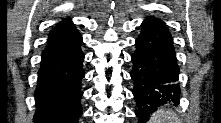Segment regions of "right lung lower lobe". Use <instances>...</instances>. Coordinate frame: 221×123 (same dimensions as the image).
I'll use <instances>...</instances> for the list:
<instances>
[{
    "label": "right lung lower lobe",
    "mask_w": 221,
    "mask_h": 123,
    "mask_svg": "<svg viewBox=\"0 0 221 123\" xmlns=\"http://www.w3.org/2000/svg\"><path fill=\"white\" fill-rule=\"evenodd\" d=\"M80 33L48 42L35 90L37 123H78L84 78Z\"/></svg>",
    "instance_id": "98d812e1"
}]
</instances>
